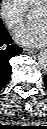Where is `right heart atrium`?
Instances as JSON below:
<instances>
[{
	"label": "right heart atrium",
	"mask_w": 47,
	"mask_h": 129,
	"mask_svg": "<svg viewBox=\"0 0 47 129\" xmlns=\"http://www.w3.org/2000/svg\"><path fill=\"white\" fill-rule=\"evenodd\" d=\"M27 9L21 0H1L0 15L10 29L19 27L26 18Z\"/></svg>",
	"instance_id": "d8ad5b80"
}]
</instances>
